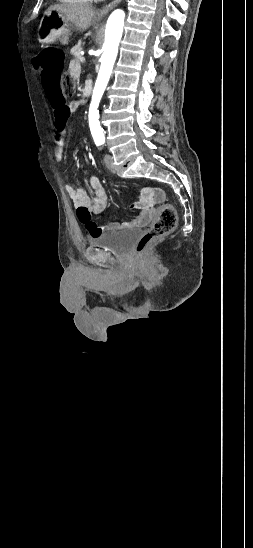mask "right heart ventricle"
Here are the masks:
<instances>
[{
	"mask_svg": "<svg viewBox=\"0 0 253 548\" xmlns=\"http://www.w3.org/2000/svg\"><path fill=\"white\" fill-rule=\"evenodd\" d=\"M59 1L63 3H68V4H83V3L90 2L92 0H59Z\"/></svg>",
	"mask_w": 253,
	"mask_h": 548,
	"instance_id": "1",
	"label": "right heart ventricle"
}]
</instances>
